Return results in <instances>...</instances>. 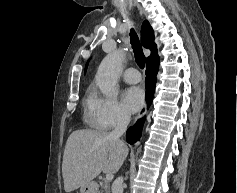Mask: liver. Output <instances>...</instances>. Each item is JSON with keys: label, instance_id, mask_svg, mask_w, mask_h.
<instances>
[{"label": "liver", "instance_id": "1", "mask_svg": "<svg viewBox=\"0 0 237 193\" xmlns=\"http://www.w3.org/2000/svg\"><path fill=\"white\" fill-rule=\"evenodd\" d=\"M128 155L127 146L101 130L83 129L70 134L65 145L62 175L65 192H72L102 171L116 173Z\"/></svg>", "mask_w": 237, "mask_h": 193}]
</instances>
